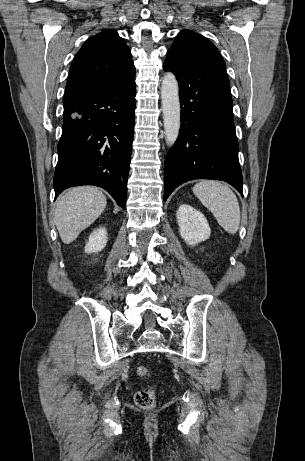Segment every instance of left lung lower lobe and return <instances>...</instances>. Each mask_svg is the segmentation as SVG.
Listing matches in <instances>:
<instances>
[{
    "label": "left lung lower lobe",
    "mask_w": 305,
    "mask_h": 461,
    "mask_svg": "<svg viewBox=\"0 0 305 461\" xmlns=\"http://www.w3.org/2000/svg\"><path fill=\"white\" fill-rule=\"evenodd\" d=\"M179 84L181 128L165 160L164 201L184 182L217 179L242 191L229 79L223 65L188 66L168 59Z\"/></svg>",
    "instance_id": "left-lung-lower-lobe-1"
}]
</instances>
